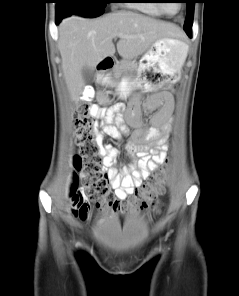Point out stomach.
<instances>
[{"label": "stomach", "mask_w": 239, "mask_h": 296, "mask_svg": "<svg viewBox=\"0 0 239 296\" xmlns=\"http://www.w3.org/2000/svg\"><path fill=\"white\" fill-rule=\"evenodd\" d=\"M188 45L178 37H162L157 39L140 59L138 70L144 75L139 84L154 82H174L178 79L185 62ZM157 85H121V90H157ZM163 90H169V85H163ZM119 101H137L132 93L118 97Z\"/></svg>", "instance_id": "1"}]
</instances>
